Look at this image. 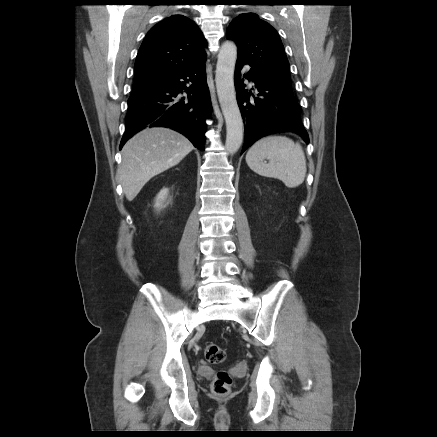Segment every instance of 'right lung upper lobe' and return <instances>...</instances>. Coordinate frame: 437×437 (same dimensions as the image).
Here are the masks:
<instances>
[{
    "instance_id": "right-lung-upper-lobe-1",
    "label": "right lung upper lobe",
    "mask_w": 437,
    "mask_h": 437,
    "mask_svg": "<svg viewBox=\"0 0 437 437\" xmlns=\"http://www.w3.org/2000/svg\"><path fill=\"white\" fill-rule=\"evenodd\" d=\"M207 42L196 24L183 15L157 23L137 54L135 82L159 81L206 59Z\"/></svg>"
}]
</instances>
